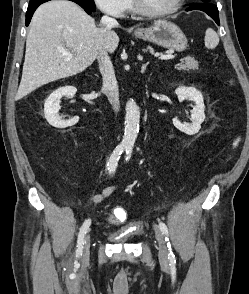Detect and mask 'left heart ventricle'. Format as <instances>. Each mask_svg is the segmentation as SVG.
<instances>
[{
  "instance_id": "b2bd125f",
  "label": "left heart ventricle",
  "mask_w": 249,
  "mask_h": 294,
  "mask_svg": "<svg viewBox=\"0 0 249 294\" xmlns=\"http://www.w3.org/2000/svg\"><path fill=\"white\" fill-rule=\"evenodd\" d=\"M144 5L155 11H161L172 7L177 0H142Z\"/></svg>"
}]
</instances>
